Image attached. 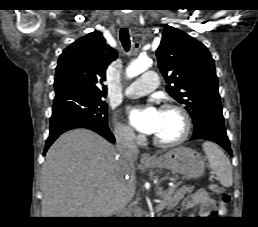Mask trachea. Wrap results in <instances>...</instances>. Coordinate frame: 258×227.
I'll return each instance as SVG.
<instances>
[{
	"instance_id": "1",
	"label": "trachea",
	"mask_w": 258,
	"mask_h": 227,
	"mask_svg": "<svg viewBox=\"0 0 258 227\" xmlns=\"http://www.w3.org/2000/svg\"><path fill=\"white\" fill-rule=\"evenodd\" d=\"M120 40L124 49L128 51L130 48V37H129L128 29L122 28L120 30Z\"/></svg>"
}]
</instances>
